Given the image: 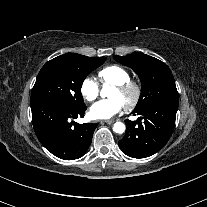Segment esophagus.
Listing matches in <instances>:
<instances>
[{
  "label": "esophagus",
  "instance_id": "obj_1",
  "mask_svg": "<svg viewBox=\"0 0 207 207\" xmlns=\"http://www.w3.org/2000/svg\"><path fill=\"white\" fill-rule=\"evenodd\" d=\"M114 122L115 120H112V119H106V120L101 121V123H106V124H112Z\"/></svg>",
  "mask_w": 207,
  "mask_h": 207
}]
</instances>
